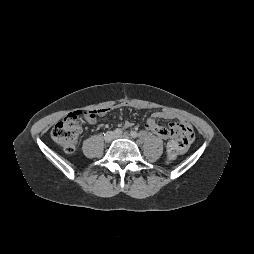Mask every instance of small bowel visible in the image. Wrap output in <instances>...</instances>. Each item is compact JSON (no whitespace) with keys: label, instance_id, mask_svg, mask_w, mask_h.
I'll use <instances>...</instances> for the list:
<instances>
[{"label":"small bowel","instance_id":"obj_1","mask_svg":"<svg viewBox=\"0 0 254 254\" xmlns=\"http://www.w3.org/2000/svg\"><path fill=\"white\" fill-rule=\"evenodd\" d=\"M108 109H99V113L97 116H102L106 114ZM90 117L87 114L85 115V119L89 124H94L96 122V117ZM174 118V114L167 110L158 111L152 114L145 122V127L154 133L156 136L163 140H171L177 141L181 147V154H183L189 147L190 143L193 140V130L188 125V123L184 120H180L179 122L172 123L170 127H163L156 123L158 119H172ZM132 123L130 121L125 122L126 127H130ZM186 127L190 129L187 134L178 133L179 127Z\"/></svg>","mask_w":254,"mask_h":254}]
</instances>
